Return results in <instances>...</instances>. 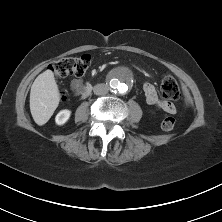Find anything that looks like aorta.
Masks as SVG:
<instances>
[{"label": "aorta", "mask_w": 222, "mask_h": 222, "mask_svg": "<svg viewBox=\"0 0 222 222\" xmlns=\"http://www.w3.org/2000/svg\"><path fill=\"white\" fill-rule=\"evenodd\" d=\"M132 81V76L129 70L120 68L111 75L109 86L113 92L124 94L129 90Z\"/></svg>", "instance_id": "1"}]
</instances>
